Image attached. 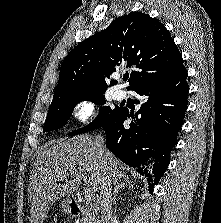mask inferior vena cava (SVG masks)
Instances as JSON below:
<instances>
[{
    "instance_id": "602c4592",
    "label": "inferior vena cava",
    "mask_w": 221,
    "mask_h": 223,
    "mask_svg": "<svg viewBox=\"0 0 221 223\" xmlns=\"http://www.w3.org/2000/svg\"><path fill=\"white\" fill-rule=\"evenodd\" d=\"M95 141L100 156L104 157V137L102 135H98L96 136ZM111 183L112 182L107 171H104L101 175L100 183L101 223H111L112 221Z\"/></svg>"
}]
</instances>
